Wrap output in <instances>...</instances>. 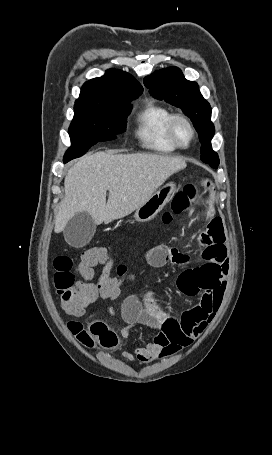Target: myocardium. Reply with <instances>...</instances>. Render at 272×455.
<instances>
[{
	"mask_svg": "<svg viewBox=\"0 0 272 455\" xmlns=\"http://www.w3.org/2000/svg\"><path fill=\"white\" fill-rule=\"evenodd\" d=\"M178 122L185 123L188 126V128L190 129L191 137H190V140L188 141V143H186V144H181L176 137L175 126ZM166 131H167V136H168L170 142L177 149L183 150V149L189 148L196 138V129H195L193 123L186 115H184L182 113H173L169 117V119L167 121Z\"/></svg>",
	"mask_w": 272,
	"mask_h": 455,
	"instance_id": "obj_1",
	"label": "myocardium"
}]
</instances>
